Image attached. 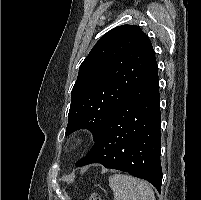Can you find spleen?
Masks as SVG:
<instances>
[{
    "label": "spleen",
    "instance_id": "spleen-1",
    "mask_svg": "<svg viewBox=\"0 0 201 200\" xmlns=\"http://www.w3.org/2000/svg\"><path fill=\"white\" fill-rule=\"evenodd\" d=\"M109 186L114 193V200H155L154 192L147 182L129 175H111Z\"/></svg>",
    "mask_w": 201,
    "mask_h": 200
}]
</instances>
